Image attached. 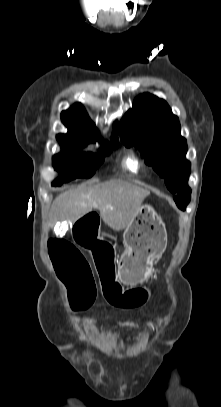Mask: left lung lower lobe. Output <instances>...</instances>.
I'll list each match as a JSON object with an SVG mask.
<instances>
[{
  "instance_id": "left-lung-lower-lobe-1",
  "label": "left lung lower lobe",
  "mask_w": 221,
  "mask_h": 407,
  "mask_svg": "<svg viewBox=\"0 0 221 407\" xmlns=\"http://www.w3.org/2000/svg\"><path fill=\"white\" fill-rule=\"evenodd\" d=\"M189 201H190V195L178 197L175 199L177 206L182 210L186 209V206L189 203Z\"/></svg>"
}]
</instances>
